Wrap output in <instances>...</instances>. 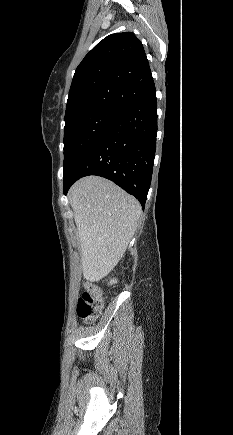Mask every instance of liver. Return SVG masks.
I'll return each mask as SVG.
<instances>
[{"label": "liver", "instance_id": "1", "mask_svg": "<svg viewBox=\"0 0 233 435\" xmlns=\"http://www.w3.org/2000/svg\"><path fill=\"white\" fill-rule=\"evenodd\" d=\"M68 197L79 234L83 276L97 281L123 257L135 233L141 206L116 184L98 176L77 181Z\"/></svg>", "mask_w": 233, "mask_h": 435}]
</instances>
